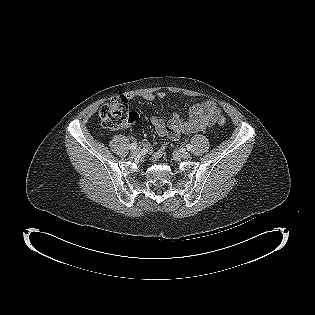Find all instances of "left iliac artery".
Instances as JSON below:
<instances>
[{"instance_id": "left-iliac-artery-1", "label": "left iliac artery", "mask_w": 315, "mask_h": 315, "mask_svg": "<svg viewBox=\"0 0 315 315\" xmlns=\"http://www.w3.org/2000/svg\"><path fill=\"white\" fill-rule=\"evenodd\" d=\"M186 148H187V150H191L192 149V145L191 144H187Z\"/></svg>"}]
</instances>
